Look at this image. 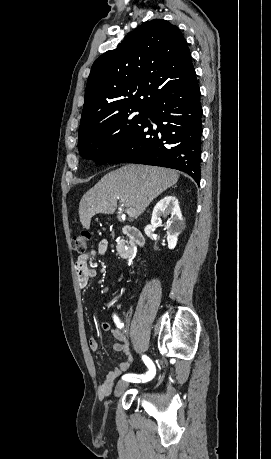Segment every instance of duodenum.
I'll list each match as a JSON object with an SVG mask.
<instances>
[{"label":"duodenum","mask_w":271,"mask_h":459,"mask_svg":"<svg viewBox=\"0 0 271 459\" xmlns=\"http://www.w3.org/2000/svg\"><path fill=\"white\" fill-rule=\"evenodd\" d=\"M122 232L131 240L136 247H142L145 243L144 237L140 230L134 226L125 225Z\"/></svg>","instance_id":"1"}]
</instances>
